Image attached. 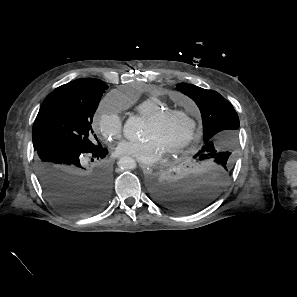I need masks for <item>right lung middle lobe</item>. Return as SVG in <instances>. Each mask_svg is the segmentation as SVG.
<instances>
[{
	"label": "right lung middle lobe",
	"instance_id": "right-lung-middle-lobe-1",
	"mask_svg": "<svg viewBox=\"0 0 297 297\" xmlns=\"http://www.w3.org/2000/svg\"><path fill=\"white\" fill-rule=\"evenodd\" d=\"M107 88L104 82L95 86L65 84L51 92L33 124L34 149L56 142L84 151L100 147L91 123Z\"/></svg>",
	"mask_w": 297,
	"mask_h": 297
}]
</instances>
